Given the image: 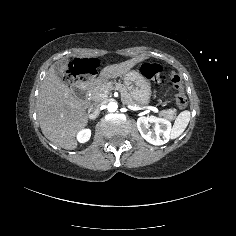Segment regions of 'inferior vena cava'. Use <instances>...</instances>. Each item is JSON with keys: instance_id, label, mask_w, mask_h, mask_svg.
Wrapping results in <instances>:
<instances>
[{"instance_id": "obj_1", "label": "inferior vena cava", "mask_w": 236, "mask_h": 236, "mask_svg": "<svg viewBox=\"0 0 236 236\" xmlns=\"http://www.w3.org/2000/svg\"><path fill=\"white\" fill-rule=\"evenodd\" d=\"M101 104H95L91 107L90 109V117L92 119L96 118L97 116H99V114L101 113Z\"/></svg>"}]
</instances>
